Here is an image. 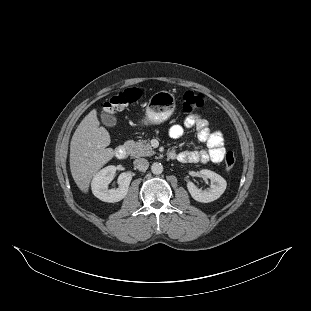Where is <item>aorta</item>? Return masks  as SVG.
I'll return each instance as SVG.
<instances>
[{
    "label": "aorta",
    "instance_id": "aorta-1",
    "mask_svg": "<svg viewBox=\"0 0 311 311\" xmlns=\"http://www.w3.org/2000/svg\"><path fill=\"white\" fill-rule=\"evenodd\" d=\"M151 171L154 174H160L163 172V165L159 162H154L151 166Z\"/></svg>",
    "mask_w": 311,
    "mask_h": 311
}]
</instances>
